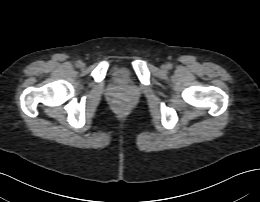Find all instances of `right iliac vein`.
<instances>
[{"label":"right iliac vein","mask_w":260,"mask_h":202,"mask_svg":"<svg viewBox=\"0 0 260 202\" xmlns=\"http://www.w3.org/2000/svg\"><path fill=\"white\" fill-rule=\"evenodd\" d=\"M81 68H84L85 67V64L82 62L81 65H80Z\"/></svg>","instance_id":"1"}]
</instances>
